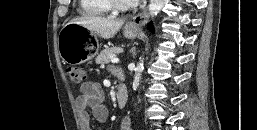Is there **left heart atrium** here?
I'll use <instances>...</instances> for the list:
<instances>
[{"instance_id": "left-heart-atrium-1", "label": "left heart atrium", "mask_w": 257, "mask_h": 130, "mask_svg": "<svg viewBox=\"0 0 257 130\" xmlns=\"http://www.w3.org/2000/svg\"><path fill=\"white\" fill-rule=\"evenodd\" d=\"M135 3H139L140 1H143V0H133Z\"/></svg>"}]
</instances>
